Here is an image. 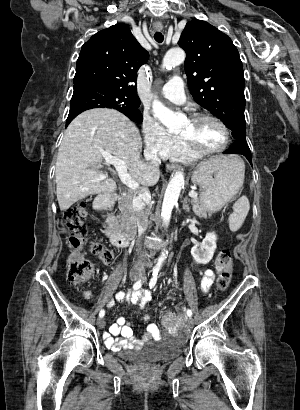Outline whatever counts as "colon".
<instances>
[{
    "label": "colon",
    "mask_w": 300,
    "mask_h": 410,
    "mask_svg": "<svg viewBox=\"0 0 300 410\" xmlns=\"http://www.w3.org/2000/svg\"><path fill=\"white\" fill-rule=\"evenodd\" d=\"M87 211L84 201L71 205L64 213V223L68 229V243L71 251L67 257V280L71 286H81L93 275L94 268L84 254V246L91 240L92 234L86 224ZM91 252L98 256L107 265L114 261L113 251L102 241L91 242ZM218 277L216 287L218 290H226L231 282L233 262L229 249H222L216 257ZM177 319L176 315L167 311L163 317V323L173 328Z\"/></svg>",
    "instance_id": "obj_1"
}]
</instances>
